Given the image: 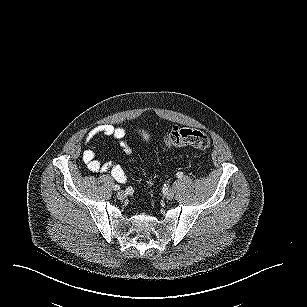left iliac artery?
Listing matches in <instances>:
<instances>
[{
	"instance_id": "44dca946",
	"label": "left iliac artery",
	"mask_w": 307,
	"mask_h": 307,
	"mask_svg": "<svg viewBox=\"0 0 307 307\" xmlns=\"http://www.w3.org/2000/svg\"><path fill=\"white\" fill-rule=\"evenodd\" d=\"M176 176H177V178H182L183 177V172H177Z\"/></svg>"
}]
</instances>
